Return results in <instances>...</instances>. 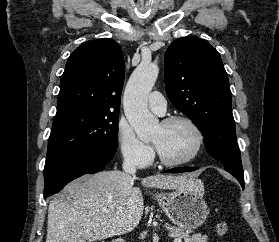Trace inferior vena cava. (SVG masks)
<instances>
[{
  "label": "inferior vena cava",
  "instance_id": "inferior-vena-cava-1",
  "mask_svg": "<svg viewBox=\"0 0 279 242\" xmlns=\"http://www.w3.org/2000/svg\"><path fill=\"white\" fill-rule=\"evenodd\" d=\"M122 168H123V170L125 171V173L130 174V175H132L133 177H135V174H136V167H135V164H134L131 160L126 159V160L123 162Z\"/></svg>",
  "mask_w": 279,
  "mask_h": 242
}]
</instances>
